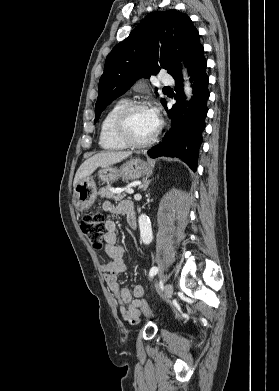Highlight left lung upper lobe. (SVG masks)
<instances>
[{
	"label": "left lung upper lobe",
	"mask_w": 279,
	"mask_h": 391,
	"mask_svg": "<svg viewBox=\"0 0 279 391\" xmlns=\"http://www.w3.org/2000/svg\"><path fill=\"white\" fill-rule=\"evenodd\" d=\"M159 40L170 46L159 48L155 45ZM201 47L198 30L186 14L176 10L148 14L106 58L99 81L95 121L107 105L124 94L137 79L156 75L161 68L173 78L180 75V63L175 55L179 54L188 67ZM165 102L161 99L162 105Z\"/></svg>",
	"instance_id": "obj_1"
}]
</instances>
